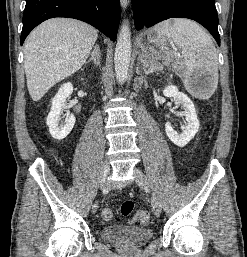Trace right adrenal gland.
Segmentation results:
<instances>
[{"label":"right adrenal gland","instance_id":"obj_1","mask_svg":"<svg viewBox=\"0 0 247 257\" xmlns=\"http://www.w3.org/2000/svg\"><path fill=\"white\" fill-rule=\"evenodd\" d=\"M93 61L94 65L97 67L100 65V50H99V46L95 45L92 53H91V57L88 59L87 62H85V64L89 63Z\"/></svg>","mask_w":247,"mask_h":257}]
</instances>
